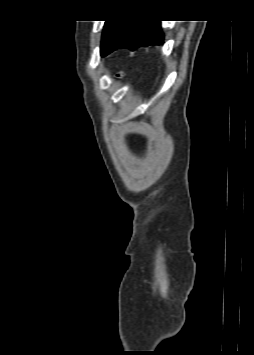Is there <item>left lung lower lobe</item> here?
Masks as SVG:
<instances>
[{
  "instance_id": "1",
  "label": "left lung lower lobe",
  "mask_w": 254,
  "mask_h": 355,
  "mask_svg": "<svg viewBox=\"0 0 254 355\" xmlns=\"http://www.w3.org/2000/svg\"><path fill=\"white\" fill-rule=\"evenodd\" d=\"M164 41L159 20H131L124 28L121 38L113 46L134 50L141 46L161 44Z\"/></svg>"
}]
</instances>
